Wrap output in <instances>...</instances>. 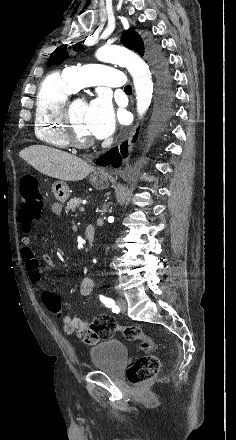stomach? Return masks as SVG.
<instances>
[{
    "mask_svg": "<svg viewBox=\"0 0 236 440\" xmlns=\"http://www.w3.org/2000/svg\"><path fill=\"white\" fill-rule=\"evenodd\" d=\"M89 182L97 190H103L109 186L108 175L103 170L93 171L89 177ZM52 192L60 203L66 202L70 196L69 187L64 181L54 182Z\"/></svg>",
    "mask_w": 236,
    "mask_h": 440,
    "instance_id": "stomach-1",
    "label": "stomach"
}]
</instances>
